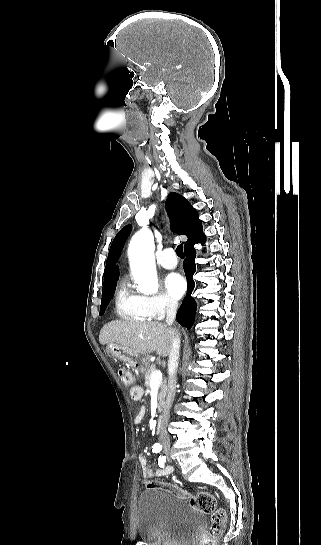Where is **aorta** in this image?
<instances>
[{"instance_id": "762f6f07", "label": "aorta", "mask_w": 321, "mask_h": 545, "mask_svg": "<svg viewBox=\"0 0 321 545\" xmlns=\"http://www.w3.org/2000/svg\"><path fill=\"white\" fill-rule=\"evenodd\" d=\"M128 255L138 290L143 293L157 292L154 237L149 229L145 227L133 236L129 244Z\"/></svg>"}]
</instances>
